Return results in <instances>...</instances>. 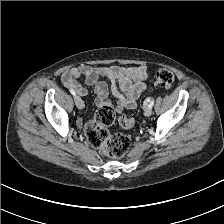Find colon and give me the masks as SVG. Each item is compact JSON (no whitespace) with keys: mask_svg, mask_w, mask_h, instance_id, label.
<instances>
[{"mask_svg":"<svg viewBox=\"0 0 224 224\" xmlns=\"http://www.w3.org/2000/svg\"><path fill=\"white\" fill-rule=\"evenodd\" d=\"M175 82L172 71L166 68L159 69L155 73V83L158 86L170 88ZM116 120L115 111L110 106H101L93 119L86 124L84 132L87 141L94 147L100 148L104 154L112 158L123 157L130 147V137L120 133H110L108 127ZM118 124L123 129H131L135 125V119L126 115L118 118Z\"/></svg>","mask_w":224,"mask_h":224,"instance_id":"obj_1","label":"colon"}]
</instances>
